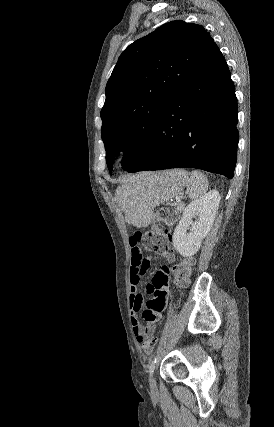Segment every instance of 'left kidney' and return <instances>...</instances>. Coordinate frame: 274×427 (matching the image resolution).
Masks as SVG:
<instances>
[{
  "label": "left kidney",
  "instance_id": "1",
  "mask_svg": "<svg viewBox=\"0 0 274 427\" xmlns=\"http://www.w3.org/2000/svg\"><path fill=\"white\" fill-rule=\"evenodd\" d=\"M220 200L219 192L210 190L200 200L186 206L172 237L173 245L180 255L190 257L198 251L202 239L206 237L213 225ZM193 217H195V221H193Z\"/></svg>",
  "mask_w": 274,
  "mask_h": 427
}]
</instances>
